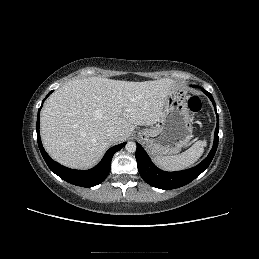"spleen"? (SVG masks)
<instances>
[{
  "label": "spleen",
  "mask_w": 259,
  "mask_h": 259,
  "mask_svg": "<svg viewBox=\"0 0 259 259\" xmlns=\"http://www.w3.org/2000/svg\"><path fill=\"white\" fill-rule=\"evenodd\" d=\"M206 145L207 142L205 140H199L181 154L174 156H156L153 161L158 167L166 171L182 170L193 165L202 156Z\"/></svg>",
  "instance_id": "3e777b00"
}]
</instances>
